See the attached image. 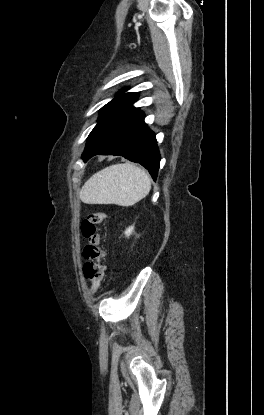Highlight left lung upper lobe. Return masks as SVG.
Instances as JSON below:
<instances>
[{"label":"left lung upper lobe","instance_id":"obj_1","mask_svg":"<svg viewBox=\"0 0 264 415\" xmlns=\"http://www.w3.org/2000/svg\"><path fill=\"white\" fill-rule=\"evenodd\" d=\"M137 95V93H125L122 95H119L117 97H115L113 100H111L108 104H106L105 106H103L101 108L100 114L102 115L104 112H106L108 109H110L111 107L115 106L116 104L124 101L125 99H128L132 96Z\"/></svg>","mask_w":264,"mask_h":415}]
</instances>
